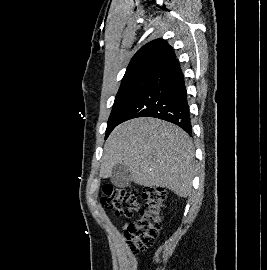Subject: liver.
Instances as JSON below:
<instances>
[{
    "label": "liver",
    "instance_id": "liver-1",
    "mask_svg": "<svg viewBox=\"0 0 267 270\" xmlns=\"http://www.w3.org/2000/svg\"><path fill=\"white\" fill-rule=\"evenodd\" d=\"M117 164L130 169L135 184L167 188L179 197L191 193L193 143L172 123L140 117L117 126L104 145L100 177H110Z\"/></svg>",
    "mask_w": 267,
    "mask_h": 270
}]
</instances>
